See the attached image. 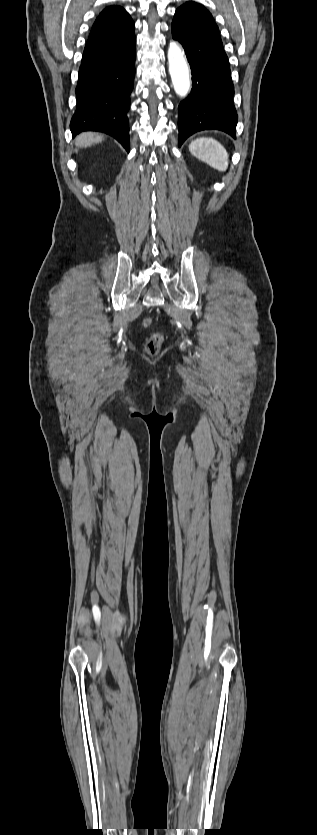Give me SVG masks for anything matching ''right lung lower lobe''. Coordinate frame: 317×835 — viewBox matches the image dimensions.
<instances>
[{
	"label": "right lung lower lobe",
	"instance_id": "1",
	"mask_svg": "<svg viewBox=\"0 0 317 835\" xmlns=\"http://www.w3.org/2000/svg\"><path fill=\"white\" fill-rule=\"evenodd\" d=\"M134 33L117 43L88 39L75 90L77 109L70 123L73 137L83 131L113 136L129 152L130 94L135 76Z\"/></svg>",
	"mask_w": 317,
	"mask_h": 835
}]
</instances>
